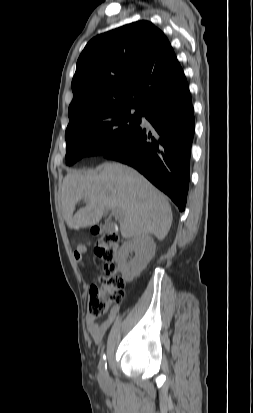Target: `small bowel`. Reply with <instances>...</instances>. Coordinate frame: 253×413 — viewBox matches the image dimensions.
<instances>
[{"mask_svg":"<svg viewBox=\"0 0 253 413\" xmlns=\"http://www.w3.org/2000/svg\"><path fill=\"white\" fill-rule=\"evenodd\" d=\"M89 249V246L87 244H80L77 246V248L74 251L73 257L75 261L82 267L85 268V261H84V255L87 253ZM119 311V306L116 305L114 306L109 315L103 320L99 321V318L92 317L90 315L87 316L86 318V326L89 334L93 338L94 342L99 343L110 326L113 324V322L116 319V316Z\"/></svg>","mask_w":253,"mask_h":413,"instance_id":"1","label":"small bowel"}]
</instances>
